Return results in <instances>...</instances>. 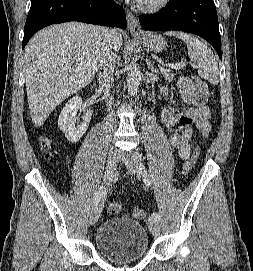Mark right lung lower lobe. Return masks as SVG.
<instances>
[{
	"mask_svg": "<svg viewBox=\"0 0 253 271\" xmlns=\"http://www.w3.org/2000/svg\"><path fill=\"white\" fill-rule=\"evenodd\" d=\"M69 21L127 27L124 10L113 0H32L24 27L23 48L38 30Z\"/></svg>",
	"mask_w": 253,
	"mask_h": 271,
	"instance_id": "obj_1",
	"label": "right lung lower lobe"
}]
</instances>
